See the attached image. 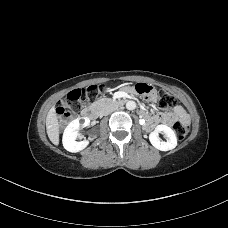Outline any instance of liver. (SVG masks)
I'll use <instances>...</instances> for the list:
<instances>
[{"label":"liver","mask_w":228,"mask_h":228,"mask_svg":"<svg viewBox=\"0 0 228 228\" xmlns=\"http://www.w3.org/2000/svg\"><path fill=\"white\" fill-rule=\"evenodd\" d=\"M46 130L50 141L54 145H58L59 144V123H58L54 106L49 110L47 114Z\"/></svg>","instance_id":"6515ba94"}]
</instances>
